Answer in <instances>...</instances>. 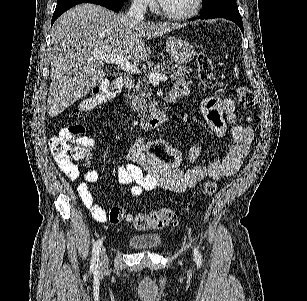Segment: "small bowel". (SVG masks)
I'll list each match as a JSON object with an SVG mask.
<instances>
[{
  "instance_id": "1",
  "label": "small bowel",
  "mask_w": 307,
  "mask_h": 301,
  "mask_svg": "<svg viewBox=\"0 0 307 301\" xmlns=\"http://www.w3.org/2000/svg\"><path fill=\"white\" fill-rule=\"evenodd\" d=\"M192 90L184 81L175 83L172 95L187 96ZM201 110L213 133L220 139L228 134L232 143L226 156L221 160H213L207 165H196L190 169L180 168L184 156L180 150L174 149L162 140L145 143L135 142L127 153V163L117 168V181L124 186H131L130 196L138 197L144 192L164 189L173 192H185L193 188L205 178L219 180L236 174L242 166L243 160L249 153L254 140L252 119H247V125L237 121L236 105L230 98L209 97L201 105ZM84 144L90 151L87 162L92 158L91 150L95 141L85 136ZM200 154L198 147L189 152V159L195 160ZM59 169L71 180L80 177L78 167L70 160L55 157ZM99 180V173L90 168L84 175V181L77 186V192L84 206L91 212L93 218L100 223L106 222L107 215L103 207L96 201L90 191L89 184Z\"/></svg>"
}]
</instances>
